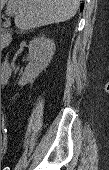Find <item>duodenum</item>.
I'll return each mask as SVG.
<instances>
[{
    "instance_id": "410a0bca",
    "label": "duodenum",
    "mask_w": 109,
    "mask_h": 170,
    "mask_svg": "<svg viewBox=\"0 0 109 170\" xmlns=\"http://www.w3.org/2000/svg\"><path fill=\"white\" fill-rule=\"evenodd\" d=\"M11 43V37L9 33H3L2 35V42H1V48L7 47Z\"/></svg>"
}]
</instances>
